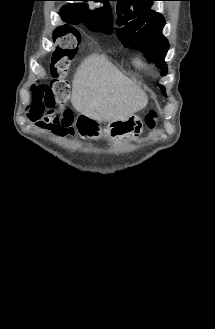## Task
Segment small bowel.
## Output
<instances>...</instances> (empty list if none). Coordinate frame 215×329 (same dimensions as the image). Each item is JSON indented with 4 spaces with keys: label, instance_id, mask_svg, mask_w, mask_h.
<instances>
[{
    "label": "small bowel",
    "instance_id": "1",
    "mask_svg": "<svg viewBox=\"0 0 215 329\" xmlns=\"http://www.w3.org/2000/svg\"><path fill=\"white\" fill-rule=\"evenodd\" d=\"M28 118L38 128L47 132L66 136L70 134L68 128L70 124L66 123V120H72V114H30L28 112Z\"/></svg>",
    "mask_w": 215,
    "mask_h": 329
}]
</instances>
